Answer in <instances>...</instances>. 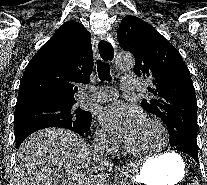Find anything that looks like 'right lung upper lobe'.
Here are the masks:
<instances>
[{
	"instance_id": "right-lung-upper-lobe-1",
	"label": "right lung upper lobe",
	"mask_w": 207,
	"mask_h": 185,
	"mask_svg": "<svg viewBox=\"0 0 207 185\" xmlns=\"http://www.w3.org/2000/svg\"><path fill=\"white\" fill-rule=\"evenodd\" d=\"M92 70L90 33L78 22H65L28 63L15 111L38 105L73 106L76 84L89 83Z\"/></svg>"
}]
</instances>
